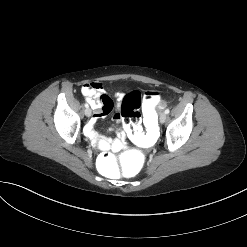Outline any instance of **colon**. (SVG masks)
<instances>
[{"label":"colon","instance_id":"5ec220e1","mask_svg":"<svg viewBox=\"0 0 247 247\" xmlns=\"http://www.w3.org/2000/svg\"><path fill=\"white\" fill-rule=\"evenodd\" d=\"M160 104V95L155 91H148L142 97L137 91L127 94L121 104V116L124 128L137 146L148 147L158 143L160 127L155 117V109ZM143 107L142 116L146 121L148 131L142 130V117L140 108ZM146 154L140 148H129L125 153L115 151H102L96 157V168L102 174L111 178H124L138 175L146 165Z\"/></svg>","mask_w":247,"mask_h":247}]
</instances>
